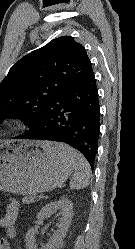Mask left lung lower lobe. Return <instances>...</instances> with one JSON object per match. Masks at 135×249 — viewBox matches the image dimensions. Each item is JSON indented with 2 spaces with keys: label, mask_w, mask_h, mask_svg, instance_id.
Returning a JSON list of instances; mask_svg holds the SVG:
<instances>
[{
  "label": "left lung lower lobe",
  "mask_w": 135,
  "mask_h": 249,
  "mask_svg": "<svg viewBox=\"0 0 135 249\" xmlns=\"http://www.w3.org/2000/svg\"><path fill=\"white\" fill-rule=\"evenodd\" d=\"M99 133V95L91 69L86 77L58 96L35 130L19 138L67 143L79 150L94 169Z\"/></svg>",
  "instance_id": "0a47b994"
}]
</instances>
